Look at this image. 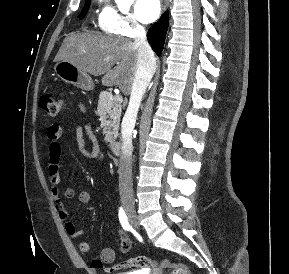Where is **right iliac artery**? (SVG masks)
I'll use <instances>...</instances> for the list:
<instances>
[{
    "instance_id": "82829eb1",
    "label": "right iliac artery",
    "mask_w": 289,
    "mask_h": 274,
    "mask_svg": "<svg viewBox=\"0 0 289 274\" xmlns=\"http://www.w3.org/2000/svg\"><path fill=\"white\" fill-rule=\"evenodd\" d=\"M119 221L123 227L124 230L129 231L131 229V226L128 222L127 215L125 214V211L122 207L119 209Z\"/></svg>"
}]
</instances>
